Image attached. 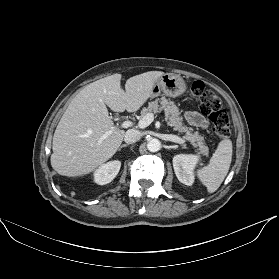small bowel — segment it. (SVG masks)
<instances>
[{
	"label": "small bowel",
	"mask_w": 279,
	"mask_h": 279,
	"mask_svg": "<svg viewBox=\"0 0 279 279\" xmlns=\"http://www.w3.org/2000/svg\"><path fill=\"white\" fill-rule=\"evenodd\" d=\"M186 119L190 124L201 127L203 129L207 128L208 126V121L201 114L195 111L187 112Z\"/></svg>",
	"instance_id": "1"
}]
</instances>
